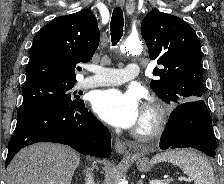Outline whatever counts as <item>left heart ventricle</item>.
Returning <instances> with one entry per match:
<instances>
[{
  "label": "left heart ventricle",
  "mask_w": 224,
  "mask_h": 184,
  "mask_svg": "<svg viewBox=\"0 0 224 184\" xmlns=\"http://www.w3.org/2000/svg\"><path fill=\"white\" fill-rule=\"evenodd\" d=\"M146 122V117L143 115L140 118V121L138 122L137 126L143 125Z\"/></svg>",
  "instance_id": "obj_1"
}]
</instances>
